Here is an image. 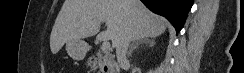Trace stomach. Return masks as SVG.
I'll list each match as a JSON object with an SVG mask.
<instances>
[{"label":"stomach","mask_w":244,"mask_h":73,"mask_svg":"<svg viewBox=\"0 0 244 73\" xmlns=\"http://www.w3.org/2000/svg\"><path fill=\"white\" fill-rule=\"evenodd\" d=\"M66 50L74 60H82L88 51V45L83 40H71L66 43Z\"/></svg>","instance_id":"1"}]
</instances>
